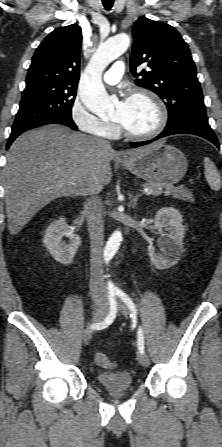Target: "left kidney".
I'll return each mask as SVG.
<instances>
[{"instance_id":"5707ae66","label":"left kidney","mask_w":222,"mask_h":447,"mask_svg":"<svg viewBox=\"0 0 222 447\" xmlns=\"http://www.w3.org/2000/svg\"><path fill=\"white\" fill-rule=\"evenodd\" d=\"M181 213L173 207L161 208L155 216L154 224L162 234L164 229L166 237L159 239L162 255L155 252L153 246H148V255L151 263L159 270L174 266L183 253L184 226Z\"/></svg>"}]
</instances>
